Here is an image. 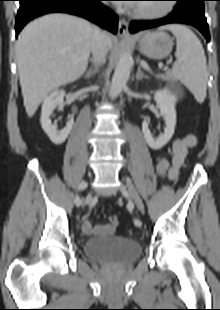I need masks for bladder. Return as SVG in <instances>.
<instances>
[{"instance_id": "bladder-1", "label": "bladder", "mask_w": 220, "mask_h": 310, "mask_svg": "<svg viewBox=\"0 0 220 310\" xmlns=\"http://www.w3.org/2000/svg\"><path fill=\"white\" fill-rule=\"evenodd\" d=\"M83 249L94 261L117 265L134 262L142 252L140 243L120 236L88 239L83 243Z\"/></svg>"}]
</instances>
